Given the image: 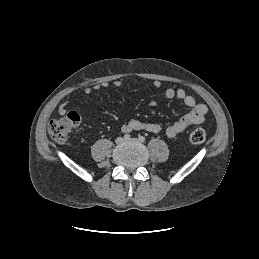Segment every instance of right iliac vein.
I'll return each mask as SVG.
<instances>
[{
	"mask_svg": "<svg viewBox=\"0 0 259 259\" xmlns=\"http://www.w3.org/2000/svg\"><path fill=\"white\" fill-rule=\"evenodd\" d=\"M124 142V139L122 138V137H118L117 139H116V143L117 144H122Z\"/></svg>",
	"mask_w": 259,
	"mask_h": 259,
	"instance_id": "right-iliac-vein-1",
	"label": "right iliac vein"
}]
</instances>
